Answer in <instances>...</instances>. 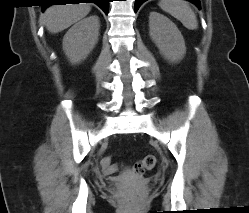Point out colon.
Here are the masks:
<instances>
[{
	"mask_svg": "<svg viewBox=\"0 0 249 213\" xmlns=\"http://www.w3.org/2000/svg\"><path fill=\"white\" fill-rule=\"evenodd\" d=\"M156 157L154 155H147L134 165L133 171L137 175L143 174L146 170H150L156 165ZM101 165L105 172L112 174L117 170V166L112 164L110 157H105L101 161ZM122 201L126 204L134 203L132 195L127 194L122 197Z\"/></svg>",
	"mask_w": 249,
	"mask_h": 213,
	"instance_id": "colon-1",
	"label": "colon"
}]
</instances>
